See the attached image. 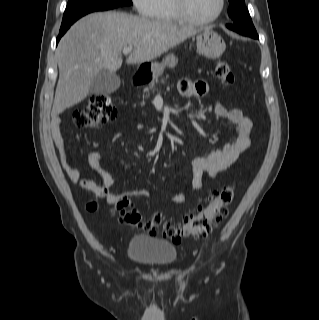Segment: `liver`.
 <instances>
[{
  "label": "liver",
  "instance_id": "liver-1",
  "mask_svg": "<svg viewBox=\"0 0 319 320\" xmlns=\"http://www.w3.org/2000/svg\"><path fill=\"white\" fill-rule=\"evenodd\" d=\"M208 29V28H207ZM199 30L192 26L151 20L122 12L89 14L61 38L56 51L59 80L52 117L84 100L93 78L102 70L115 73L121 52L133 47L127 64L152 61Z\"/></svg>",
  "mask_w": 319,
  "mask_h": 320
}]
</instances>
